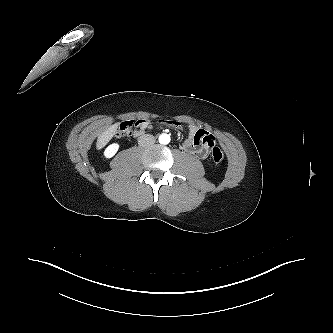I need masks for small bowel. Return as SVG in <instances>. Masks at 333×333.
I'll return each mask as SVG.
<instances>
[{"label": "small bowel", "instance_id": "obj_1", "mask_svg": "<svg viewBox=\"0 0 333 333\" xmlns=\"http://www.w3.org/2000/svg\"><path fill=\"white\" fill-rule=\"evenodd\" d=\"M163 124L180 129L182 124L177 121L166 120ZM150 122L147 119H140L136 122V135L144 134L150 128ZM216 145L215 137L209 132L190 126L189 137L183 142V148L201 159L207 158L210 148Z\"/></svg>", "mask_w": 333, "mask_h": 333}]
</instances>
